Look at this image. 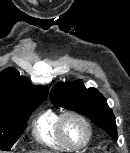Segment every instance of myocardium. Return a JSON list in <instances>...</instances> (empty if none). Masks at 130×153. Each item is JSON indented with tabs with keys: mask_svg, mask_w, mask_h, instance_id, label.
Returning <instances> with one entry per match:
<instances>
[{
	"mask_svg": "<svg viewBox=\"0 0 130 153\" xmlns=\"http://www.w3.org/2000/svg\"><path fill=\"white\" fill-rule=\"evenodd\" d=\"M68 117H74L81 121L83 125L86 128L87 131V137L86 140L81 145H74L72 144L65 136L64 134V122ZM57 132L62 140V142L71 150H81L84 149L91 141L92 138V126L89 122V120L80 112L75 110H67L59 115L58 121H57Z\"/></svg>",
	"mask_w": 130,
	"mask_h": 153,
	"instance_id": "1",
	"label": "myocardium"
}]
</instances>
